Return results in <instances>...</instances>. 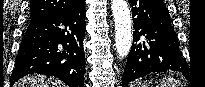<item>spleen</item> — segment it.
<instances>
[{"instance_id": "3e777b00", "label": "spleen", "mask_w": 205, "mask_h": 87, "mask_svg": "<svg viewBox=\"0 0 205 87\" xmlns=\"http://www.w3.org/2000/svg\"><path fill=\"white\" fill-rule=\"evenodd\" d=\"M161 87H181V84L173 77L168 76L165 77L161 82H160Z\"/></svg>"}]
</instances>
